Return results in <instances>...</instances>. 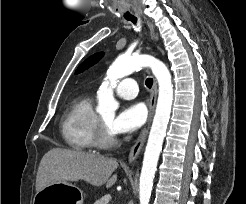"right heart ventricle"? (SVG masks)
Wrapping results in <instances>:
<instances>
[{"instance_id": "right-heart-ventricle-1", "label": "right heart ventricle", "mask_w": 246, "mask_h": 204, "mask_svg": "<svg viewBox=\"0 0 246 204\" xmlns=\"http://www.w3.org/2000/svg\"><path fill=\"white\" fill-rule=\"evenodd\" d=\"M98 115L92 100L87 96L74 99L62 120V135L66 144L75 150L85 151L96 147L95 131Z\"/></svg>"}]
</instances>
